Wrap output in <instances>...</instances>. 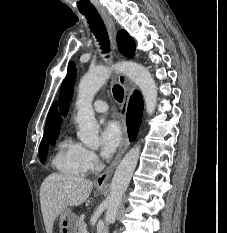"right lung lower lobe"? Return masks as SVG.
<instances>
[{"instance_id": "98d812e1", "label": "right lung lower lobe", "mask_w": 227, "mask_h": 233, "mask_svg": "<svg viewBox=\"0 0 227 233\" xmlns=\"http://www.w3.org/2000/svg\"><path fill=\"white\" fill-rule=\"evenodd\" d=\"M127 122H128V133L130 141L134 140L137 136L139 129V122L137 121V108L134 103V94L130 99L127 112Z\"/></svg>"}]
</instances>
